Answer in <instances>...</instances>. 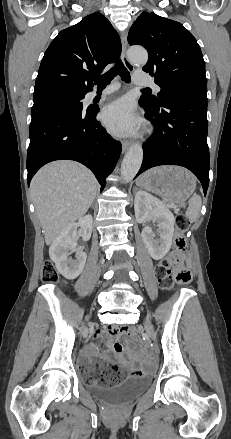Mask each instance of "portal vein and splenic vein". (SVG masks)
<instances>
[{
  "label": "portal vein and splenic vein",
  "mask_w": 231,
  "mask_h": 439,
  "mask_svg": "<svg viewBox=\"0 0 231 439\" xmlns=\"http://www.w3.org/2000/svg\"><path fill=\"white\" fill-rule=\"evenodd\" d=\"M171 207H173V208H176V206H175V205H172Z\"/></svg>",
  "instance_id": "portal-vein-and-splenic-vein-1"
}]
</instances>
